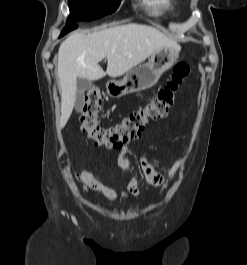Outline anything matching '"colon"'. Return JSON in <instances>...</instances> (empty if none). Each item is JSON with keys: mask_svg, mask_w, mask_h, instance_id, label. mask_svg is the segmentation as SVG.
I'll return each mask as SVG.
<instances>
[{"mask_svg": "<svg viewBox=\"0 0 247 265\" xmlns=\"http://www.w3.org/2000/svg\"><path fill=\"white\" fill-rule=\"evenodd\" d=\"M189 73V65L185 63L176 65L171 79L151 101L110 127H103L100 123L99 116L103 102L100 91L95 88L88 90L80 117L81 130L97 146L110 149L122 148L137 139L151 121H158L168 115L175 102L177 91Z\"/></svg>", "mask_w": 247, "mask_h": 265, "instance_id": "colon-1", "label": "colon"}]
</instances>
